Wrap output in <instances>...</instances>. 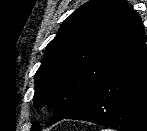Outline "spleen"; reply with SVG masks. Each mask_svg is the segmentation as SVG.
I'll return each mask as SVG.
<instances>
[{"instance_id": "spleen-1", "label": "spleen", "mask_w": 147, "mask_h": 131, "mask_svg": "<svg viewBox=\"0 0 147 131\" xmlns=\"http://www.w3.org/2000/svg\"><path fill=\"white\" fill-rule=\"evenodd\" d=\"M102 131H111V130H107V129H106V130H102Z\"/></svg>"}]
</instances>
